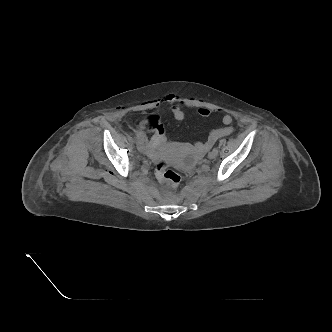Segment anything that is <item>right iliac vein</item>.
Wrapping results in <instances>:
<instances>
[{"mask_svg": "<svg viewBox=\"0 0 332 332\" xmlns=\"http://www.w3.org/2000/svg\"><path fill=\"white\" fill-rule=\"evenodd\" d=\"M136 145L139 151L144 150V140L142 138H138L136 141Z\"/></svg>", "mask_w": 332, "mask_h": 332, "instance_id": "1", "label": "right iliac vein"}]
</instances>
